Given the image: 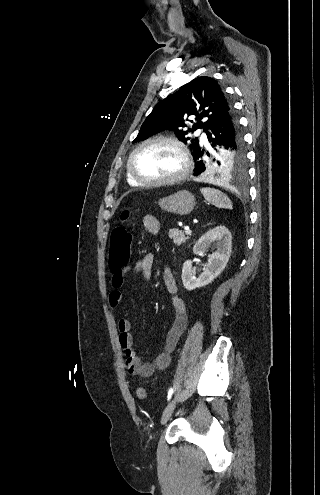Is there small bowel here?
<instances>
[{"label":"small bowel","mask_w":320,"mask_h":495,"mask_svg":"<svg viewBox=\"0 0 320 495\" xmlns=\"http://www.w3.org/2000/svg\"><path fill=\"white\" fill-rule=\"evenodd\" d=\"M142 222L150 234L158 235L160 222L156 217L146 215L143 217ZM153 261V253H148L139 259L133 267H125L119 272H113L111 276L113 289L109 294V305L113 311L118 308L123 300L120 288L123 286L124 276L132 272L141 275L145 280H149L152 276ZM163 280L167 291L172 296L173 321L165 335L161 352L152 361L143 362L137 356L134 349V338L131 333V323L127 319L118 321L119 343L126 357L127 369L133 376L146 378L157 370L166 369L170 364L171 354L187 326V307L184 300L177 295V284L169 267H166L163 271Z\"/></svg>","instance_id":"c3829d8e"}]
</instances>
